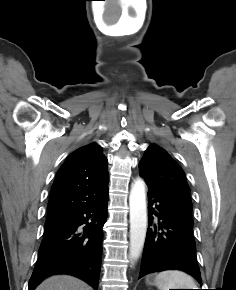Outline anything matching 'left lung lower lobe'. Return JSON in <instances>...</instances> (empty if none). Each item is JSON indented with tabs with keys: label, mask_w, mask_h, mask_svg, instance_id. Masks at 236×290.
<instances>
[{
	"label": "left lung lower lobe",
	"mask_w": 236,
	"mask_h": 290,
	"mask_svg": "<svg viewBox=\"0 0 236 290\" xmlns=\"http://www.w3.org/2000/svg\"><path fill=\"white\" fill-rule=\"evenodd\" d=\"M148 198L150 228L139 278L153 272L178 269L191 274L201 284L191 211L175 197L153 188L148 189Z\"/></svg>",
	"instance_id": "0a47b994"
}]
</instances>
